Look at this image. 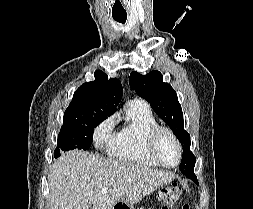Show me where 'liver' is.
I'll return each mask as SVG.
<instances>
[{"label":"liver","mask_w":253,"mask_h":209,"mask_svg":"<svg viewBox=\"0 0 253 209\" xmlns=\"http://www.w3.org/2000/svg\"><path fill=\"white\" fill-rule=\"evenodd\" d=\"M173 179L171 172L72 150L50 167L49 209H112L121 200L133 206Z\"/></svg>","instance_id":"obj_1"}]
</instances>
